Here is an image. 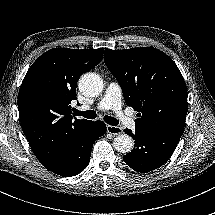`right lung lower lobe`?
<instances>
[{
  "label": "right lung lower lobe",
  "instance_id": "right-lung-lower-lobe-1",
  "mask_svg": "<svg viewBox=\"0 0 215 215\" xmlns=\"http://www.w3.org/2000/svg\"><path fill=\"white\" fill-rule=\"evenodd\" d=\"M102 121H88L73 131L60 160L48 170L61 176L70 177L79 174L89 163L95 140L106 133Z\"/></svg>",
  "mask_w": 215,
  "mask_h": 215
}]
</instances>
